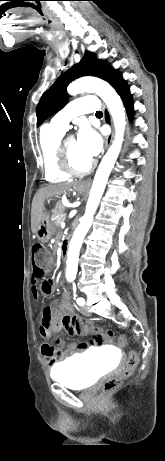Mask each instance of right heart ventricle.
<instances>
[{
  "mask_svg": "<svg viewBox=\"0 0 165 461\" xmlns=\"http://www.w3.org/2000/svg\"><path fill=\"white\" fill-rule=\"evenodd\" d=\"M63 130L47 124L41 128L39 135V148L43 161V171L48 182H62L69 179L57 164L56 149L58 142L64 135Z\"/></svg>",
  "mask_w": 165,
  "mask_h": 461,
  "instance_id": "obj_1",
  "label": "right heart ventricle"
}]
</instances>
